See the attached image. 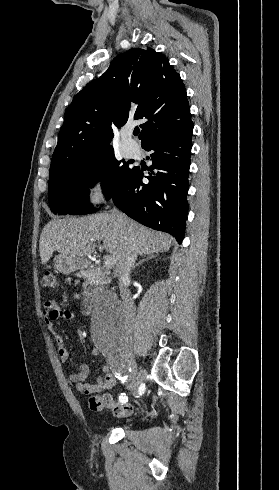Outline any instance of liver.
<instances>
[{
    "instance_id": "obj_1",
    "label": "liver",
    "mask_w": 279,
    "mask_h": 490,
    "mask_svg": "<svg viewBox=\"0 0 279 490\" xmlns=\"http://www.w3.org/2000/svg\"><path fill=\"white\" fill-rule=\"evenodd\" d=\"M98 240H102L103 248L114 258L115 274L121 272L128 248L133 244L138 256L144 258L154 252H168L173 244L169 234L148 230L130 218L125 226H117L111 214L51 220L44 226L39 240L41 264H47L53 252L82 260L94 252Z\"/></svg>"
}]
</instances>
